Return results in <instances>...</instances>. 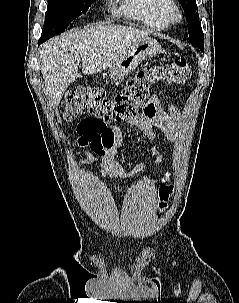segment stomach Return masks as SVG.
Masks as SVG:
<instances>
[{
    "mask_svg": "<svg viewBox=\"0 0 239 303\" xmlns=\"http://www.w3.org/2000/svg\"><path fill=\"white\" fill-rule=\"evenodd\" d=\"M162 52L161 45L154 39L146 37L133 43L119 60L109 67V76L113 80L127 77L140 62L156 57Z\"/></svg>",
    "mask_w": 239,
    "mask_h": 303,
    "instance_id": "0dacf381",
    "label": "stomach"
}]
</instances>
